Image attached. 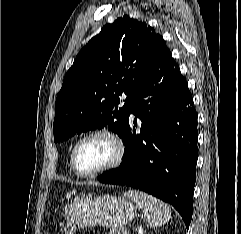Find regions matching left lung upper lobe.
Segmentation results:
<instances>
[{"mask_svg": "<svg viewBox=\"0 0 241 234\" xmlns=\"http://www.w3.org/2000/svg\"><path fill=\"white\" fill-rule=\"evenodd\" d=\"M166 48L145 22L129 16L105 25L78 53L57 95L54 141L105 125L124 140L131 100ZM126 95L120 106V96Z\"/></svg>", "mask_w": 241, "mask_h": 234, "instance_id": "5c2ea615", "label": "left lung upper lobe"}]
</instances>
